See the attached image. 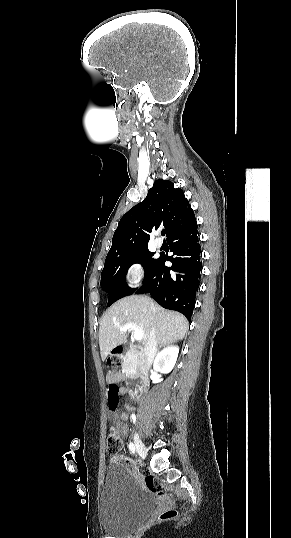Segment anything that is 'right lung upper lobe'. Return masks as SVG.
Wrapping results in <instances>:
<instances>
[{
	"label": "right lung upper lobe",
	"mask_w": 291,
	"mask_h": 538,
	"mask_svg": "<svg viewBox=\"0 0 291 538\" xmlns=\"http://www.w3.org/2000/svg\"><path fill=\"white\" fill-rule=\"evenodd\" d=\"M196 221L193 209L180 188L158 179L147 197L120 220L106 259L148 248L152 229L165 226L166 237Z\"/></svg>",
	"instance_id": "cb5924a9"
}]
</instances>
